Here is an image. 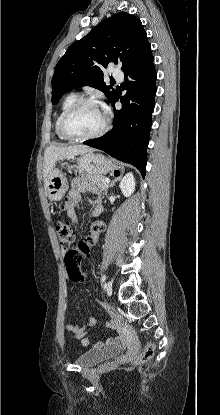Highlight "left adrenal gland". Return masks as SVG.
I'll return each instance as SVG.
<instances>
[{"label": "left adrenal gland", "instance_id": "left-adrenal-gland-1", "mask_svg": "<svg viewBox=\"0 0 220 415\" xmlns=\"http://www.w3.org/2000/svg\"><path fill=\"white\" fill-rule=\"evenodd\" d=\"M119 179H120V177L115 178V179L111 182V184H110V186H109V187H113V186H114V184H115V182H117Z\"/></svg>", "mask_w": 220, "mask_h": 415}]
</instances>
